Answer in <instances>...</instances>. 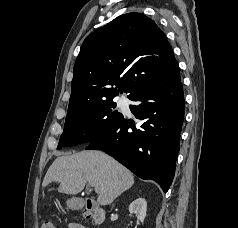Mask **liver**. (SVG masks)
Listing matches in <instances>:
<instances>
[{"instance_id":"6515ba94","label":"liver","mask_w":238,"mask_h":228,"mask_svg":"<svg viewBox=\"0 0 238 228\" xmlns=\"http://www.w3.org/2000/svg\"><path fill=\"white\" fill-rule=\"evenodd\" d=\"M52 182L59 183V192L72 195L80 193L89 183L99 194L97 202L105 206L132 187L134 176L112 157L94 150L57 157L45 175L43 186Z\"/></svg>"}]
</instances>
